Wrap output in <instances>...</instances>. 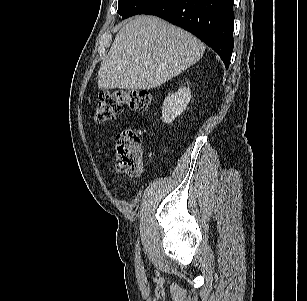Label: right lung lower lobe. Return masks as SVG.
Returning <instances> with one entry per match:
<instances>
[{
	"instance_id": "98d812e1",
	"label": "right lung lower lobe",
	"mask_w": 307,
	"mask_h": 301,
	"mask_svg": "<svg viewBox=\"0 0 307 301\" xmlns=\"http://www.w3.org/2000/svg\"><path fill=\"white\" fill-rule=\"evenodd\" d=\"M140 14L159 16L190 31L228 68L234 46L233 0H160Z\"/></svg>"
}]
</instances>
